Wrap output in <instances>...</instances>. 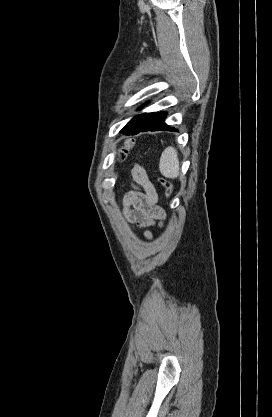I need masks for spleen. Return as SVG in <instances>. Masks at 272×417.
<instances>
[{"label":"spleen","mask_w":272,"mask_h":417,"mask_svg":"<svg viewBox=\"0 0 272 417\" xmlns=\"http://www.w3.org/2000/svg\"><path fill=\"white\" fill-rule=\"evenodd\" d=\"M159 169L166 178H177L179 175V159L177 151L169 146L161 154Z\"/></svg>","instance_id":"obj_1"}]
</instances>
